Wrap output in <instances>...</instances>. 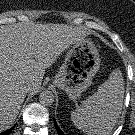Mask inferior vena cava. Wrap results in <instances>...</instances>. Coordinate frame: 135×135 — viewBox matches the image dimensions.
<instances>
[{"mask_svg": "<svg viewBox=\"0 0 135 135\" xmlns=\"http://www.w3.org/2000/svg\"><path fill=\"white\" fill-rule=\"evenodd\" d=\"M25 90L28 92V91H31V86L30 85H28L26 88H25Z\"/></svg>", "mask_w": 135, "mask_h": 135, "instance_id": "obj_1", "label": "inferior vena cava"}]
</instances>
